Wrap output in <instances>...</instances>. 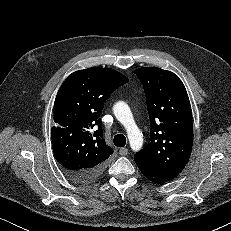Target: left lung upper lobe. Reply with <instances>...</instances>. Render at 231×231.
<instances>
[{
  "label": "left lung upper lobe",
  "mask_w": 231,
  "mask_h": 231,
  "mask_svg": "<svg viewBox=\"0 0 231 231\" xmlns=\"http://www.w3.org/2000/svg\"><path fill=\"white\" fill-rule=\"evenodd\" d=\"M142 82L150 117V142L137 155L167 172L181 173L193 144L192 111L182 81L157 67L135 70Z\"/></svg>",
  "instance_id": "5c2ea615"
}]
</instances>
